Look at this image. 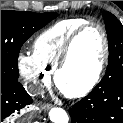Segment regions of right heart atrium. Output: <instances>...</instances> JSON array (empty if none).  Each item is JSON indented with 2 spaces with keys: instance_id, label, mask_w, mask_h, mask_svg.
<instances>
[{
  "instance_id": "1",
  "label": "right heart atrium",
  "mask_w": 123,
  "mask_h": 123,
  "mask_svg": "<svg viewBox=\"0 0 123 123\" xmlns=\"http://www.w3.org/2000/svg\"><path fill=\"white\" fill-rule=\"evenodd\" d=\"M16 66L28 90L36 93L50 80V72L39 62L34 54L20 52L16 57Z\"/></svg>"
}]
</instances>
